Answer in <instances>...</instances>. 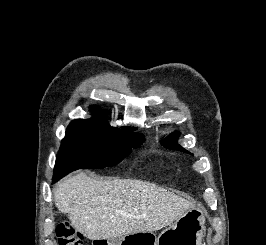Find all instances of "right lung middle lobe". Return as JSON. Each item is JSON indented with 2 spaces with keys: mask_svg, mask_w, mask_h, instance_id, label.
I'll return each mask as SVG.
<instances>
[{
  "mask_svg": "<svg viewBox=\"0 0 266 245\" xmlns=\"http://www.w3.org/2000/svg\"><path fill=\"white\" fill-rule=\"evenodd\" d=\"M134 130L114 128L102 120L72 121L57 155L54 176L61 178L77 169H102L121 162L144 142V135Z\"/></svg>",
  "mask_w": 266,
  "mask_h": 245,
  "instance_id": "dd1d6c3e",
  "label": "right lung middle lobe"
}]
</instances>
